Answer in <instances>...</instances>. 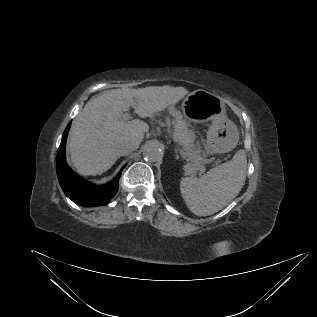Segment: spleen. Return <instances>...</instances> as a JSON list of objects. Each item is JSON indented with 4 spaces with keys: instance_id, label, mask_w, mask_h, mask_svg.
I'll return each mask as SVG.
<instances>
[{
    "instance_id": "obj_1",
    "label": "spleen",
    "mask_w": 317,
    "mask_h": 317,
    "mask_svg": "<svg viewBox=\"0 0 317 317\" xmlns=\"http://www.w3.org/2000/svg\"><path fill=\"white\" fill-rule=\"evenodd\" d=\"M246 169V153L239 150L232 160L211 169L200 178H182L181 195L194 214L212 215L239 194L245 183Z\"/></svg>"
}]
</instances>
